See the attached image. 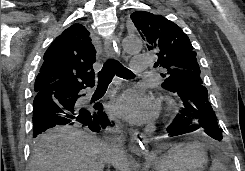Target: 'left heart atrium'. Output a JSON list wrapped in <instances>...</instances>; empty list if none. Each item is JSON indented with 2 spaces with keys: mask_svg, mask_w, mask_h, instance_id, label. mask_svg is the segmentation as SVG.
<instances>
[{
  "mask_svg": "<svg viewBox=\"0 0 245 171\" xmlns=\"http://www.w3.org/2000/svg\"><path fill=\"white\" fill-rule=\"evenodd\" d=\"M111 108L117 115L137 124L151 121L159 111L154 97L141 89L126 90L112 101Z\"/></svg>",
  "mask_w": 245,
  "mask_h": 171,
  "instance_id": "39dd6f15",
  "label": "left heart atrium"
}]
</instances>
